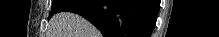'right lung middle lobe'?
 <instances>
[{"label": "right lung middle lobe", "mask_w": 219, "mask_h": 37, "mask_svg": "<svg viewBox=\"0 0 219 37\" xmlns=\"http://www.w3.org/2000/svg\"><path fill=\"white\" fill-rule=\"evenodd\" d=\"M68 1L66 0H53L51 12L49 14V17L53 16L55 13L58 12V10Z\"/></svg>", "instance_id": "1"}]
</instances>
